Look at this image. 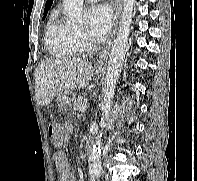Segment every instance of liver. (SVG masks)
Masks as SVG:
<instances>
[{
	"label": "liver",
	"mask_w": 197,
	"mask_h": 181,
	"mask_svg": "<svg viewBox=\"0 0 197 181\" xmlns=\"http://www.w3.org/2000/svg\"><path fill=\"white\" fill-rule=\"evenodd\" d=\"M94 70L91 63L76 57L49 58L41 61L35 71L37 103L47 106L64 90L86 87Z\"/></svg>",
	"instance_id": "1"
}]
</instances>
